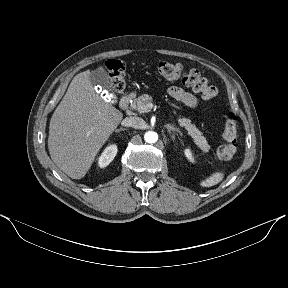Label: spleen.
I'll use <instances>...</instances> for the list:
<instances>
[{"label":"spleen","mask_w":288,"mask_h":288,"mask_svg":"<svg viewBox=\"0 0 288 288\" xmlns=\"http://www.w3.org/2000/svg\"><path fill=\"white\" fill-rule=\"evenodd\" d=\"M224 174L221 172H216L206 180L201 182V186L203 187H211L223 180Z\"/></svg>","instance_id":"spleen-1"}]
</instances>
